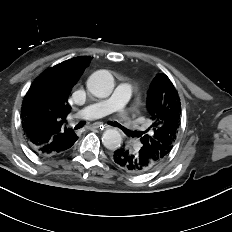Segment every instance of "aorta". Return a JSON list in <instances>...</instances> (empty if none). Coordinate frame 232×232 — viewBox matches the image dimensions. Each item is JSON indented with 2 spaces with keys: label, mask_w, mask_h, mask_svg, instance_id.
<instances>
[{
  "label": "aorta",
  "mask_w": 232,
  "mask_h": 232,
  "mask_svg": "<svg viewBox=\"0 0 232 232\" xmlns=\"http://www.w3.org/2000/svg\"><path fill=\"white\" fill-rule=\"evenodd\" d=\"M87 88L98 98L108 97L114 88L113 76L106 70H100L90 76ZM103 145L109 150H116L122 143L121 134L115 129H108L102 136Z\"/></svg>",
  "instance_id": "1"
}]
</instances>
